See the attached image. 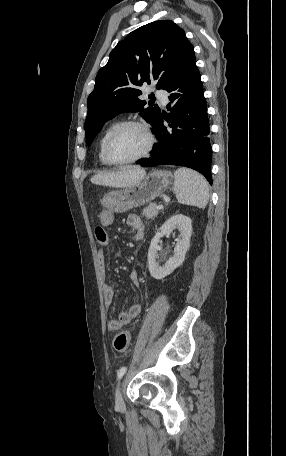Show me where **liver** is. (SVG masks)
<instances>
[{"mask_svg": "<svg viewBox=\"0 0 286 456\" xmlns=\"http://www.w3.org/2000/svg\"><path fill=\"white\" fill-rule=\"evenodd\" d=\"M145 175L144 169L138 166H128L116 172H99L92 176L90 181L96 185L127 188L141 181Z\"/></svg>", "mask_w": 286, "mask_h": 456, "instance_id": "6515ba94", "label": "liver"}]
</instances>
